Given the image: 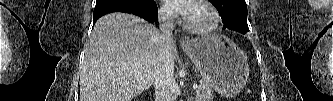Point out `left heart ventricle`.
<instances>
[{"label":"left heart ventricle","instance_id":"b2bd125f","mask_svg":"<svg viewBox=\"0 0 333 101\" xmlns=\"http://www.w3.org/2000/svg\"><path fill=\"white\" fill-rule=\"evenodd\" d=\"M186 19L190 24L196 27H207L212 22V16L208 9L195 3H192Z\"/></svg>","mask_w":333,"mask_h":101}]
</instances>
